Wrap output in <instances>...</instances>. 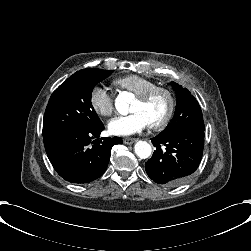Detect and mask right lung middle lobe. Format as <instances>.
I'll use <instances>...</instances> for the list:
<instances>
[{
	"label": "right lung middle lobe",
	"mask_w": 251,
	"mask_h": 251,
	"mask_svg": "<svg viewBox=\"0 0 251 251\" xmlns=\"http://www.w3.org/2000/svg\"><path fill=\"white\" fill-rule=\"evenodd\" d=\"M114 70L86 68L74 73L51 95L43 120V138L70 128L95 129L103 125L91 94L95 85Z\"/></svg>",
	"instance_id": "1"
}]
</instances>
